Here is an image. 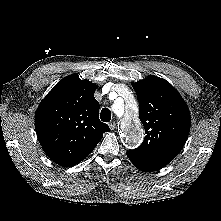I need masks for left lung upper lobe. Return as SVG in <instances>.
Here are the masks:
<instances>
[{
	"mask_svg": "<svg viewBox=\"0 0 221 221\" xmlns=\"http://www.w3.org/2000/svg\"><path fill=\"white\" fill-rule=\"evenodd\" d=\"M145 128L141 146L126 154L160 166L167 165L183 148L191 124L186 102L166 80L149 76L132 83Z\"/></svg>",
	"mask_w": 221,
	"mask_h": 221,
	"instance_id": "5c2ea615",
	"label": "left lung upper lobe"
}]
</instances>
